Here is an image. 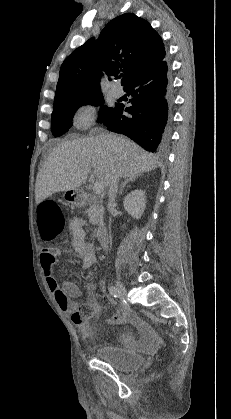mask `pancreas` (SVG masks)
<instances>
[{"label":"pancreas","instance_id":"cf45deb5","mask_svg":"<svg viewBox=\"0 0 231 419\" xmlns=\"http://www.w3.org/2000/svg\"><path fill=\"white\" fill-rule=\"evenodd\" d=\"M89 208L87 210L89 216V222L92 225L98 224L103 217V207L100 205L98 199L95 196H90L88 199Z\"/></svg>","mask_w":231,"mask_h":419}]
</instances>
